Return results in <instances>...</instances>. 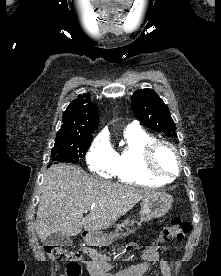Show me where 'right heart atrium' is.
I'll return each mask as SVG.
<instances>
[{"instance_id": "right-heart-atrium-1", "label": "right heart atrium", "mask_w": 221, "mask_h": 276, "mask_svg": "<svg viewBox=\"0 0 221 276\" xmlns=\"http://www.w3.org/2000/svg\"><path fill=\"white\" fill-rule=\"evenodd\" d=\"M86 161L93 172L108 177L114 172L115 151L107 139L98 137L91 145Z\"/></svg>"}]
</instances>
